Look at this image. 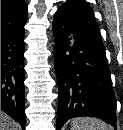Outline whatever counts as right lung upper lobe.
I'll use <instances>...</instances> for the list:
<instances>
[{
	"label": "right lung upper lobe",
	"mask_w": 123,
	"mask_h": 130,
	"mask_svg": "<svg viewBox=\"0 0 123 130\" xmlns=\"http://www.w3.org/2000/svg\"><path fill=\"white\" fill-rule=\"evenodd\" d=\"M27 22L24 0H1V28L18 27Z\"/></svg>",
	"instance_id": "1"
}]
</instances>
